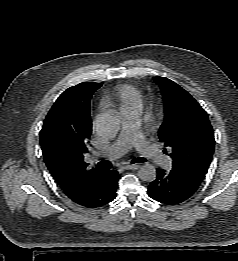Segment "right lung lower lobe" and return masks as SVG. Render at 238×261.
Segmentation results:
<instances>
[{"label":"right lung lower lobe","instance_id":"1","mask_svg":"<svg viewBox=\"0 0 238 261\" xmlns=\"http://www.w3.org/2000/svg\"><path fill=\"white\" fill-rule=\"evenodd\" d=\"M118 178L117 171L103 170L87 192L73 202L86 208H97L108 204L116 197Z\"/></svg>","mask_w":238,"mask_h":261}]
</instances>
